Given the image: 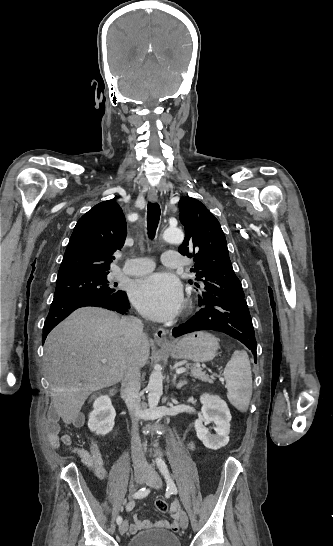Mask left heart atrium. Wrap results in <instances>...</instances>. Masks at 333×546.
Wrapping results in <instances>:
<instances>
[{
	"label": "left heart atrium",
	"mask_w": 333,
	"mask_h": 546,
	"mask_svg": "<svg viewBox=\"0 0 333 546\" xmlns=\"http://www.w3.org/2000/svg\"><path fill=\"white\" fill-rule=\"evenodd\" d=\"M130 297L140 312L158 321L173 318L183 303L179 281L163 272L135 280L130 287Z\"/></svg>",
	"instance_id": "39dd6f15"
}]
</instances>
